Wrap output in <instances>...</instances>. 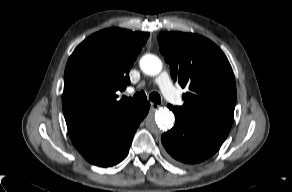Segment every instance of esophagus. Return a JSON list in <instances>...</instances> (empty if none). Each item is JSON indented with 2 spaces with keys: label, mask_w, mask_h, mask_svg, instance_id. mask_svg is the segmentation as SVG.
I'll return each instance as SVG.
<instances>
[{
  "label": "esophagus",
  "mask_w": 292,
  "mask_h": 192,
  "mask_svg": "<svg viewBox=\"0 0 292 192\" xmlns=\"http://www.w3.org/2000/svg\"><path fill=\"white\" fill-rule=\"evenodd\" d=\"M150 105H151V110H156V109H158L160 107L159 104L154 103V102H151Z\"/></svg>",
  "instance_id": "34e87169"
}]
</instances>
